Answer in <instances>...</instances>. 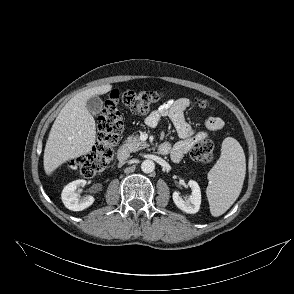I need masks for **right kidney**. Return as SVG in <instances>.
Listing matches in <instances>:
<instances>
[{
    "instance_id": "1",
    "label": "right kidney",
    "mask_w": 294,
    "mask_h": 294,
    "mask_svg": "<svg viewBox=\"0 0 294 294\" xmlns=\"http://www.w3.org/2000/svg\"><path fill=\"white\" fill-rule=\"evenodd\" d=\"M85 184L86 180L79 179L70 182L64 187L61 198L66 208L72 211H82L94 203L95 199L92 196L78 198L76 190L79 187H83Z\"/></svg>"
}]
</instances>
